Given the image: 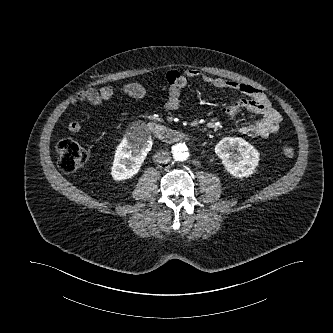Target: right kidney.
<instances>
[{"label":"right kidney","instance_id":"right-kidney-1","mask_svg":"<svg viewBox=\"0 0 333 333\" xmlns=\"http://www.w3.org/2000/svg\"><path fill=\"white\" fill-rule=\"evenodd\" d=\"M150 136L125 137L115 152L111 175L115 181H123L135 176L152 147Z\"/></svg>","mask_w":333,"mask_h":333}]
</instances>
